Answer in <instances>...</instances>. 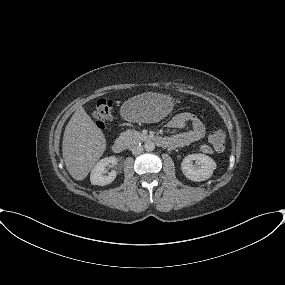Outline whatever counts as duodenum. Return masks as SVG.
Here are the masks:
<instances>
[{"instance_id": "obj_1", "label": "duodenum", "mask_w": 285, "mask_h": 285, "mask_svg": "<svg viewBox=\"0 0 285 285\" xmlns=\"http://www.w3.org/2000/svg\"><path fill=\"white\" fill-rule=\"evenodd\" d=\"M152 141L155 142L160 147H167L169 142L165 137L156 136L152 138ZM127 149V142L123 138H117L112 144V151L114 153H122Z\"/></svg>"}]
</instances>
